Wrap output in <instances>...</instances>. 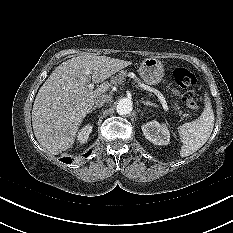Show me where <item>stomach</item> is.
Masks as SVG:
<instances>
[{
  "instance_id": "stomach-1",
  "label": "stomach",
  "mask_w": 233,
  "mask_h": 233,
  "mask_svg": "<svg viewBox=\"0 0 233 233\" xmlns=\"http://www.w3.org/2000/svg\"><path fill=\"white\" fill-rule=\"evenodd\" d=\"M138 71L141 78L150 85L158 84L164 76L162 62L154 57L144 59Z\"/></svg>"
}]
</instances>
